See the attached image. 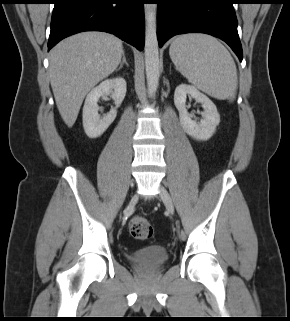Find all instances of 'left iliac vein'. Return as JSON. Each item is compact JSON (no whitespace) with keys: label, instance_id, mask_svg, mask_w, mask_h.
<instances>
[{"label":"left iliac vein","instance_id":"1","mask_svg":"<svg viewBox=\"0 0 290 321\" xmlns=\"http://www.w3.org/2000/svg\"><path fill=\"white\" fill-rule=\"evenodd\" d=\"M159 191H160V198L165 204L166 209L168 210L169 213L174 214V204L168 191L162 186H160Z\"/></svg>","mask_w":290,"mask_h":321}]
</instances>
